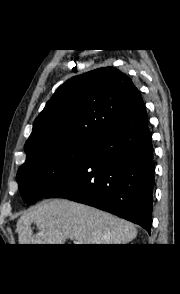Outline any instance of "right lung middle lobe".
<instances>
[{
  "instance_id": "1",
  "label": "right lung middle lobe",
  "mask_w": 180,
  "mask_h": 294,
  "mask_svg": "<svg viewBox=\"0 0 180 294\" xmlns=\"http://www.w3.org/2000/svg\"><path fill=\"white\" fill-rule=\"evenodd\" d=\"M95 141H70L45 147L26 159L17 173L24 201L31 205L46 198L84 162Z\"/></svg>"
}]
</instances>
